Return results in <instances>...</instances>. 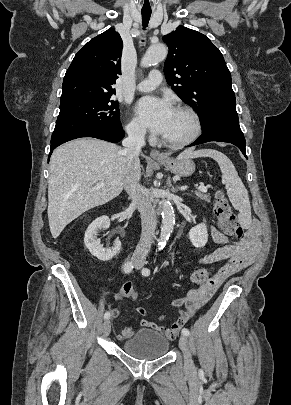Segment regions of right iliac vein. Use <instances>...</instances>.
Instances as JSON below:
<instances>
[{"mask_svg": "<svg viewBox=\"0 0 291 405\" xmlns=\"http://www.w3.org/2000/svg\"><path fill=\"white\" fill-rule=\"evenodd\" d=\"M110 331H111V322H110V320L107 319L103 323V333L105 336H107V335H109Z\"/></svg>", "mask_w": 291, "mask_h": 405, "instance_id": "1", "label": "right iliac vein"}]
</instances>
